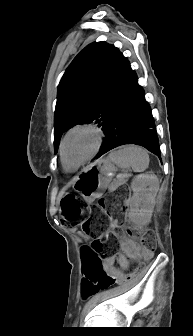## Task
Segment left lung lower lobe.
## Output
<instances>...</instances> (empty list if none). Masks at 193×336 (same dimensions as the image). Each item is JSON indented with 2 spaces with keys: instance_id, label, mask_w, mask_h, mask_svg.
<instances>
[{
  "instance_id": "0a47b994",
  "label": "left lung lower lobe",
  "mask_w": 193,
  "mask_h": 336,
  "mask_svg": "<svg viewBox=\"0 0 193 336\" xmlns=\"http://www.w3.org/2000/svg\"><path fill=\"white\" fill-rule=\"evenodd\" d=\"M102 130L106 137L95 158L118 146L135 144L145 147L161 159L151 109L129 63Z\"/></svg>"
}]
</instances>
